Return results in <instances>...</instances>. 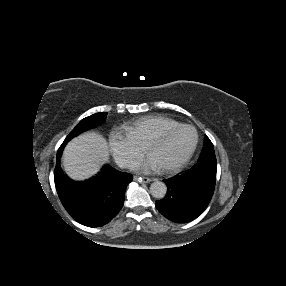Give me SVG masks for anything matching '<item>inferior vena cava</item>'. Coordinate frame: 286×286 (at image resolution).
Masks as SVG:
<instances>
[{"label": "inferior vena cava", "mask_w": 286, "mask_h": 286, "mask_svg": "<svg viewBox=\"0 0 286 286\" xmlns=\"http://www.w3.org/2000/svg\"><path fill=\"white\" fill-rule=\"evenodd\" d=\"M117 164L120 167H127L129 165L128 162L126 160H123V159L117 161Z\"/></svg>", "instance_id": "inferior-vena-cava-1"}]
</instances>
